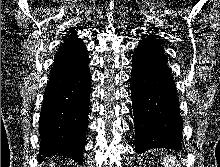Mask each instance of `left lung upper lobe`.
Here are the masks:
<instances>
[{"label": "left lung upper lobe", "instance_id": "left-lung-upper-lobe-1", "mask_svg": "<svg viewBox=\"0 0 220 167\" xmlns=\"http://www.w3.org/2000/svg\"><path fill=\"white\" fill-rule=\"evenodd\" d=\"M137 49H147L164 52L161 46L160 37L154 34H145Z\"/></svg>", "mask_w": 220, "mask_h": 167}]
</instances>
